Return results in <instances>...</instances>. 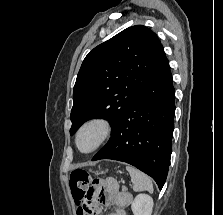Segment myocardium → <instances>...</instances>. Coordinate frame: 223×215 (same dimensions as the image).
I'll return each instance as SVG.
<instances>
[{
  "label": "myocardium",
  "mask_w": 223,
  "mask_h": 215,
  "mask_svg": "<svg viewBox=\"0 0 223 215\" xmlns=\"http://www.w3.org/2000/svg\"><path fill=\"white\" fill-rule=\"evenodd\" d=\"M94 131L96 134V139L93 145L87 149L81 148L79 141L81 135L85 131ZM112 126L110 122L105 118H92L85 121L77 130L75 135V145L80 153L90 154L99 149L111 136Z\"/></svg>",
  "instance_id": "1"
}]
</instances>
